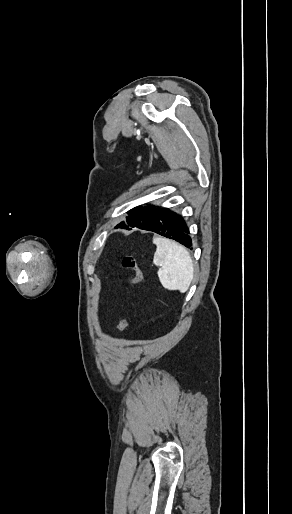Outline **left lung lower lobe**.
Wrapping results in <instances>:
<instances>
[{
  "instance_id": "1",
  "label": "left lung lower lobe",
  "mask_w": 292,
  "mask_h": 514,
  "mask_svg": "<svg viewBox=\"0 0 292 514\" xmlns=\"http://www.w3.org/2000/svg\"><path fill=\"white\" fill-rule=\"evenodd\" d=\"M144 230L153 231L192 249L193 243L185 221L169 209L164 208L158 218Z\"/></svg>"
}]
</instances>
